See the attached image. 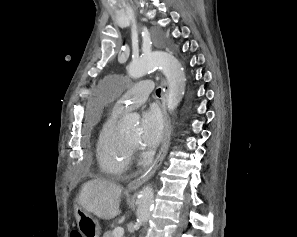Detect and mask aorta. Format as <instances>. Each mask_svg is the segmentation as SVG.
<instances>
[{"instance_id": "obj_1", "label": "aorta", "mask_w": 297, "mask_h": 237, "mask_svg": "<svg viewBox=\"0 0 297 237\" xmlns=\"http://www.w3.org/2000/svg\"><path fill=\"white\" fill-rule=\"evenodd\" d=\"M160 69L165 75L169 92L167 107L169 111L176 109L183 98L186 86V77L181 63L168 52L156 51L139 59L133 60L127 67L129 76L140 78L147 72ZM138 118L135 115H127L123 119V127L128 129L136 125ZM154 206V192L150 186H145L140 192L137 208V222L146 223Z\"/></svg>"}]
</instances>
